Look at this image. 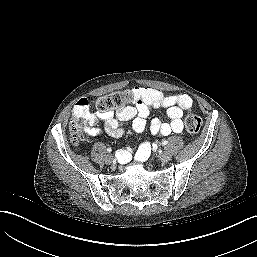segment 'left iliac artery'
Wrapping results in <instances>:
<instances>
[{
    "mask_svg": "<svg viewBox=\"0 0 257 257\" xmlns=\"http://www.w3.org/2000/svg\"><path fill=\"white\" fill-rule=\"evenodd\" d=\"M167 144H168V141H167V140L162 141V145H163V146H165V145H167Z\"/></svg>",
    "mask_w": 257,
    "mask_h": 257,
    "instance_id": "1",
    "label": "left iliac artery"
}]
</instances>
